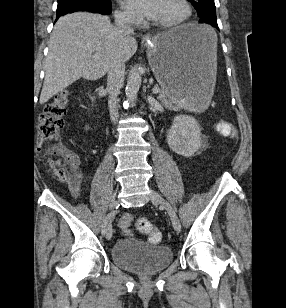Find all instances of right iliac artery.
I'll return each mask as SVG.
<instances>
[{
	"instance_id": "1",
	"label": "right iliac artery",
	"mask_w": 286,
	"mask_h": 308,
	"mask_svg": "<svg viewBox=\"0 0 286 308\" xmlns=\"http://www.w3.org/2000/svg\"><path fill=\"white\" fill-rule=\"evenodd\" d=\"M117 211L110 212L104 219L102 224V235H105L106 233V226L109 222L112 221L113 217L116 215Z\"/></svg>"
}]
</instances>
